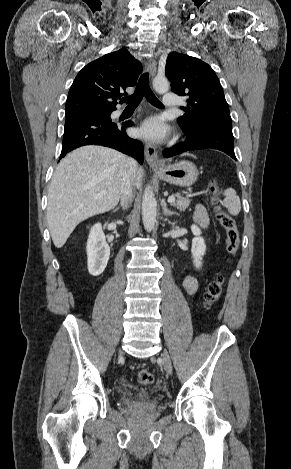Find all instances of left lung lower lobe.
Returning <instances> with one entry per match:
<instances>
[{"label":"left lung lower lobe","mask_w":291,"mask_h":469,"mask_svg":"<svg viewBox=\"0 0 291 469\" xmlns=\"http://www.w3.org/2000/svg\"><path fill=\"white\" fill-rule=\"evenodd\" d=\"M187 133L184 143L163 151L164 157L169 158L190 150L213 148L225 152L236 160L232 130L208 127Z\"/></svg>","instance_id":"0a47b994"}]
</instances>
